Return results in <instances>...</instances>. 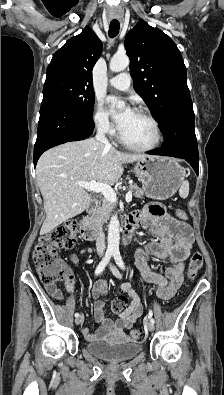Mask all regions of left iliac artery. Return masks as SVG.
<instances>
[{
    "label": "left iliac artery",
    "instance_id": "1",
    "mask_svg": "<svg viewBox=\"0 0 224 395\" xmlns=\"http://www.w3.org/2000/svg\"><path fill=\"white\" fill-rule=\"evenodd\" d=\"M113 256H114V259H115V262H116V264L121 268V269H125V265H124V262H123V259H122V257H121V255H120V252H119V250H115L114 252H113ZM152 311L150 310L149 311V313H148V318L150 319V322H152V323H154L155 321H154V319L152 318Z\"/></svg>",
    "mask_w": 224,
    "mask_h": 395
}]
</instances>
